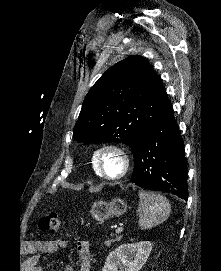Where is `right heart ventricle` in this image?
<instances>
[{"instance_id":"obj_1","label":"right heart ventricle","mask_w":221,"mask_h":271,"mask_svg":"<svg viewBox=\"0 0 221 271\" xmlns=\"http://www.w3.org/2000/svg\"><path fill=\"white\" fill-rule=\"evenodd\" d=\"M88 163H90L89 165H90V167H92L90 170L92 171V175L94 176L96 173L94 172V168L93 167H99V162H97L98 160H97V158H88Z\"/></svg>"}]
</instances>
